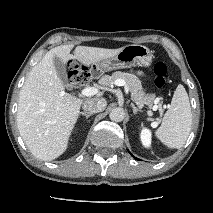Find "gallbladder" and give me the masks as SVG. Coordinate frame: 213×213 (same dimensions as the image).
<instances>
[{
    "label": "gallbladder",
    "mask_w": 213,
    "mask_h": 213,
    "mask_svg": "<svg viewBox=\"0 0 213 213\" xmlns=\"http://www.w3.org/2000/svg\"><path fill=\"white\" fill-rule=\"evenodd\" d=\"M53 62H54V66H55L58 77L61 79L64 85H67L68 77H67V72H66V68L63 61L59 57L55 56L53 59Z\"/></svg>",
    "instance_id": "1"
}]
</instances>
